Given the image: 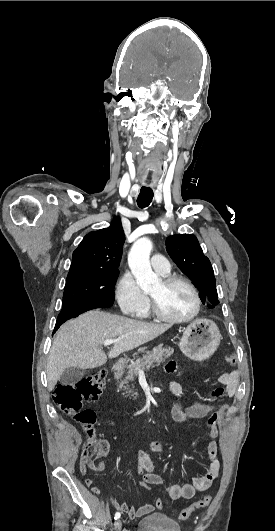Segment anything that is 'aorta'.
Wrapping results in <instances>:
<instances>
[{
    "label": "aorta",
    "mask_w": 275,
    "mask_h": 531,
    "mask_svg": "<svg viewBox=\"0 0 275 531\" xmlns=\"http://www.w3.org/2000/svg\"><path fill=\"white\" fill-rule=\"evenodd\" d=\"M153 243L148 237H142L135 241L128 255V265L142 291H153L161 289L162 281L155 275L150 265V253Z\"/></svg>",
    "instance_id": "aorta-1"
}]
</instances>
